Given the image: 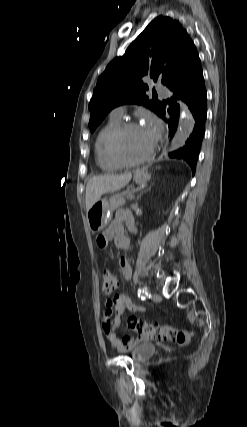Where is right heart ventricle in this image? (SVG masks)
Masks as SVG:
<instances>
[{"label":"right heart ventricle","mask_w":247,"mask_h":427,"mask_svg":"<svg viewBox=\"0 0 247 427\" xmlns=\"http://www.w3.org/2000/svg\"><path fill=\"white\" fill-rule=\"evenodd\" d=\"M121 123L120 118L111 116L106 124L100 129L95 139V159L98 167L103 171H115L122 167L114 161L109 151L110 139Z\"/></svg>","instance_id":"1"}]
</instances>
